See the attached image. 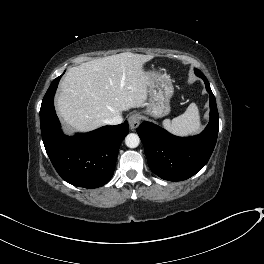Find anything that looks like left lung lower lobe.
I'll list each match as a JSON object with an SVG mask.
<instances>
[{
  "label": "left lung lower lobe",
  "mask_w": 264,
  "mask_h": 264,
  "mask_svg": "<svg viewBox=\"0 0 264 264\" xmlns=\"http://www.w3.org/2000/svg\"><path fill=\"white\" fill-rule=\"evenodd\" d=\"M196 75L204 80L210 95V121L201 134L177 137L151 122H143L137 129L150 169L168 181H181L196 174L208 162L216 144L219 129L216 100L204 74Z\"/></svg>",
  "instance_id": "left-lung-lower-lobe-1"
}]
</instances>
